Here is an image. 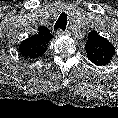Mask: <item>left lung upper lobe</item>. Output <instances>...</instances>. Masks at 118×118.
<instances>
[{"label":"left lung upper lobe","mask_w":118,"mask_h":118,"mask_svg":"<svg viewBox=\"0 0 118 118\" xmlns=\"http://www.w3.org/2000/svg\"><path fill=\"white\" fill-rule=\"evenodd\" d=\"M85 50L88 59L96 65H107L110 63L115 49L113 45L105 38L101 37L96 31H91L88 35V41L85 44Z\"/></svg>","instance_id":"1"}]
</instances>
